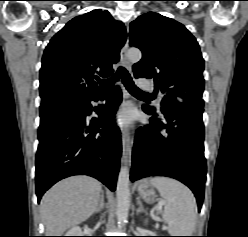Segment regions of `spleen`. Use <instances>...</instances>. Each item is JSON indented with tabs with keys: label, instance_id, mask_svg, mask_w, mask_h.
Here are the masks:
<instances>
[{
	"label": "spleen",
	"instance_id": "spleen-1",
	"mask_svg": "<svg viewBox=\"0 0 248 237\" xmlns=\"http://www.w3.org/2000/svg\"><path fill=\"white\" fill-rule=\"evenodd\" d=\"M164 199L163 220L171 236H191L196 220V200L182 183L166 177L150 180Z\"/></svg>",
	"mask_w": 248,
	"mask_h": 237
}]
</instances>
